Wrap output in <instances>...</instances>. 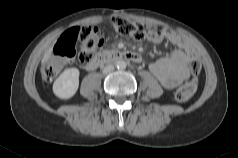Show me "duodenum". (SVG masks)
Returning a JSON list of instances; mask_svg holds the SVG:
<instances>
[{"instance_id": "1", "label": "duodenum", "mask_w": 238, "mask_h": 158, "mask_svg": "<svg viewBox=\"0 0 238 158\" xmlns=\"http://www.w3.org/2000/svg\"><path fill=\"white\" fill-rule=\"evenodd\" d=\"M142 60L138 53L127 52V51H104L98 53L92 60L87 64L88 70H95L100 65L117 62V61H131L134 63H140Z\"/></svg>"}]
</instances>
